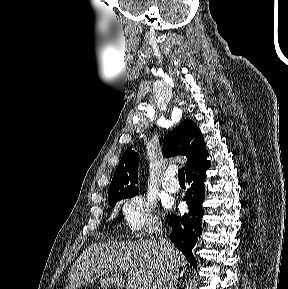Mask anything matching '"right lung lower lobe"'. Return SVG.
Returning <instances> with one entry per match:
<instances>
[{"instance_id": "98d812e1", "label": "right lung lower lobe", "mask_w": 288, "mask_h": 289, "mask_svg": "<svg viewBox=\"0 0 288 289\" xmlns=\"http://www.w3.org/2000/svg\"><path fill=\"white\" fill-rule=\"evenodd\" d=\"M209 168L206 157L195 167L186 173V179L190 188L187 190L184 200L188 205L189 212L183 216L171 215L169 226L172 228L170 239L175 246L185 255L186 259L196 265L192 249L196 245L197 237L201 234V219L204 211V180L205 172Z\"/></svg>"}]
</instances>
